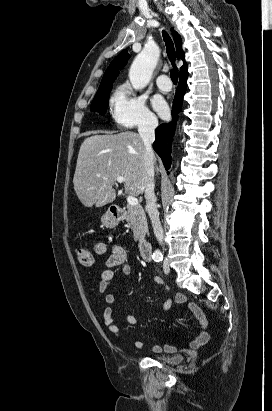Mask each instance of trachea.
Masks as SVG:
<instances>
[{"label": "trachea", "mask_w": 272, "mask_h": 411, "mask_svg": "<svg viewBox=\"0 0 272 411\" xmlns=\"http://www.w3.org/2000/svg\"><path fill=\"white\" fill-rule=\"evenodd\" d=\"M163 38L166 46L167 55L170 59V62L173 66L171 69L170 77L173 84H177L178 82V68L175 66V48L171 37L168 35L166 31H163Z\"/></svg>", "instance_id": "1"}]
</instances>
